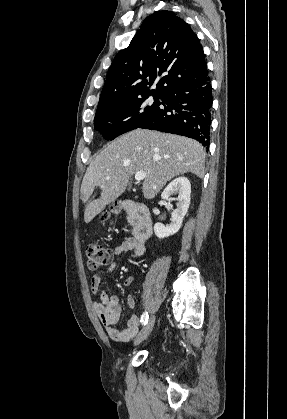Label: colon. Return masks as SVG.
Masks as SVG:
<instances>
[{
	"label": "colon",
	"instance_id": "colon-1",
	"mask_svg": "<svg viewBox=\"0 0 287 419\" xmlns=\"http://www.w3.org/2000/svg\"><path fill=\"white\" fill-rule=\"evenodd\" d=\"M102 218H106V214L102 215ZM88 267L91 270H96L102 266L108 264L111 258V252L104 246L98 243H92L87 246L86 249Z\"/></svg>",
	"mask_w": 287,
	"mask_h": 419
}]
</instances>
